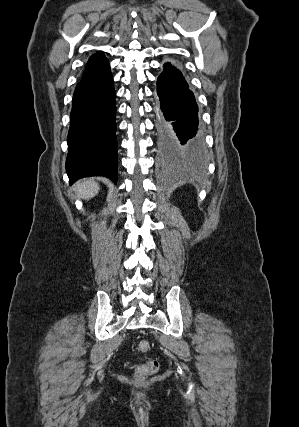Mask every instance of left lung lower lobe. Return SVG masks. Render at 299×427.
I'll use <instances>...</instances> for the list:
<instances>
[{
	"label": "left lung lower lobe",
	"mask_w": 299,
	"mask_h": 427,
	"mask_svg": "<svg viewBox=\"0 0 299 427\" xmlns=\"http://www.w3.org/2000/svg\"><path fill=\"white\" fill-rule=\"evenodd\" d=\"M156 104L158 149L166 161L194 160L202 166L203 135L198 124V106L193 92L176 67L164 65L157 80Z\"/></svg>",
	"instance_id": "1"
}]
</instances>
